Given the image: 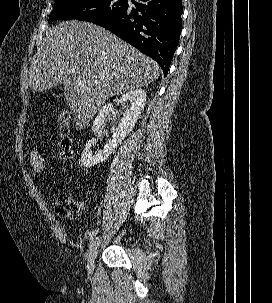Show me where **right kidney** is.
<instances>
[{
  "label": "right kidney",
  "instance_id": "1",
  "mask_svg": "<svg viewBox=\"0 0 272 303\" xmlns=\"http://www.w3.org/2000/svg\"><path fill=\"white\" fill-rule=\"evenodd\" d=\"M147 94L142 89H136L129 91L122 95L120 98V104L125 108L121 122L114 132L111 139L106 142L103 148L98 149L94 154L92 152V147L96 144V138H92L86 144L81 158L80 163L83 167H92L103 161H105L117 148V146L124 140V138L132 131L138 118L140 117L146 102ZM131 103V107H127L126 102ZM114 106L112 104H107L102 107L92 125V131L94 134H99L102 130V125L106 121L107 117L113 113Z\"/></svg>",
  "mask_w": 272,
  "mask_h": 303
}]
</instances>
